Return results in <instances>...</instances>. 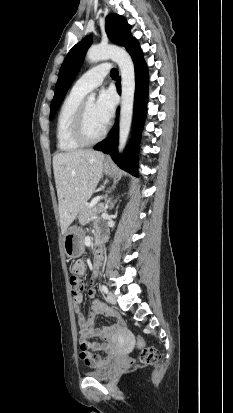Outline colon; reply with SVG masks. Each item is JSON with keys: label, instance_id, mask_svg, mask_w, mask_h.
Returning <instances> with one entry per match:
<instances>
[{"label": "colon", "instance_id": "1", "mask_svg": "<svg viewBox=\"0 0 233 413\" xmlns=\"http://www.w3.org/2000/svg\"><path fill=\"white\" fill-rule=\"evenodd\" d=\"M70 286L73 294L81 292L84 286L83 280L78 276L70 277ZM138 346L141 349L140 360L144 364H154L159 361L161 354L154 347H146L143 340L138 341Z\"/></svg>", "mask_w": 233, "mask_h": 413}]
</instances>
